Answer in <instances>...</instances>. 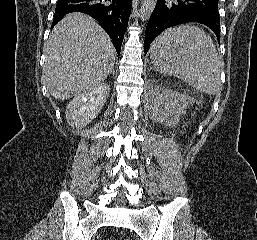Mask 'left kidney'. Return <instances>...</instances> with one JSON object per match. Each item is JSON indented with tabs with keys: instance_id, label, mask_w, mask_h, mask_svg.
<instances>
[{
	"instance_id": "left-kidney-1",
	"label": "left kidney",
	"mask_w": 257,
	"mask_h": 240,
	"mask_svg": "<svg viewBox=\"0 0 257 240\" xmlns=\"http://www.w3.org/2000/svg\"><path fill=\"white\" fill-rule=\"evenodd\" d=\"M193 102V99L188 95L168 89H160L156 92L151 106L152 118L165 125H175L185 112L188 104Z\"/></svg>"
}]
</instances>
